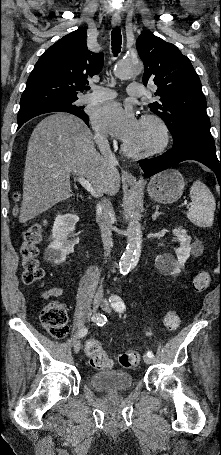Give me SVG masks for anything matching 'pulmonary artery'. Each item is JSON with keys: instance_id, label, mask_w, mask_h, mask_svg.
<instances>
[{"instance_id": "pulmonary-artery-1", "label": "pulmonary artery", "mask_w": 221, "mask_h": 455, "mask_svg": "<svg viewBox=\"0 0 221 455\" xmlns=\"http://www.w3.org/2000/svg\"><path fill=\"white\" fill-rule=\"evenodd\" d=\"M127 93L133 96H142L144 89L139 83H131L127 87ZM116 97V93L107 87L93 86L92 92L84 95L81 98L82 103H97L107 100H112Z\"/></svg>"}]
</instances>
